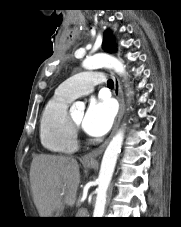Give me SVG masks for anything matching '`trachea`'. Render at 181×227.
Here are the masks:
<instances>
[{
  "label": "trachea",
  "mask_w": 181,
  "mask_h": 227,
  "mask_svg": "<svg viewBox=\"0 0 181 227\" xmlns=\"http://www.w3.org/2000/svg\"><path fill=\"white\" fill-rule=\"evenodd\" d=\"M107 85H108V87L113 88V86H114L113 80H111V79L108 80Z\"/></svg>",
  "instance_id": "trachea-1"
}]
</instances>
